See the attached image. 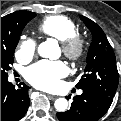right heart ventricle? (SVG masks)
I'll return each instance as SVG.
<instances>
[{
  "label": "right heart ventricle",
  "instance_id": "e07e8e85",
  "mask_svg": "<svg viewBox=\"0 0 121 121\" xmlns=\"http://www.w3.org/2000/svg\"><path fill=\"white\" fill-rule=\"evenodd\" d=\"M38 30L61 42L78 34L76 23L70 18L60 15L48 16L43 19L38 25Z\"/></svg>",
  "mask_w": 121,
  "mask_h": 121
}]
</instances>
